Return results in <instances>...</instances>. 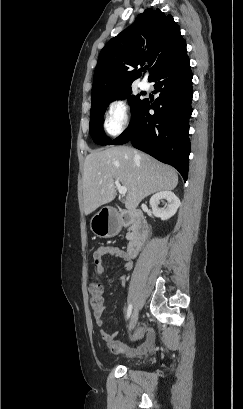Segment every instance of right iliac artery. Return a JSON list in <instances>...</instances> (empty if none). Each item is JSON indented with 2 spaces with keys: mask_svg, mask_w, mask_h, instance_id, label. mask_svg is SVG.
Segmentation results:
<instances>
[{
  "mask_svg": "<svg viewBox=\"0 0 243 409\" xmlns=\"http://www.w3.org/2000/svg\"><path fill=\"white\" fill-rule=\"evenodd\" d=\"M131 313H132V304H129L127 308V315H126L127 319L130 318Z\"/></svg>",
  "mask_w": 243,
  "mask_h": 409,
  "instance_id": "82829eb1",
  "label": "right iliac artery"
}]
</instances>
